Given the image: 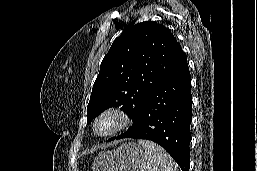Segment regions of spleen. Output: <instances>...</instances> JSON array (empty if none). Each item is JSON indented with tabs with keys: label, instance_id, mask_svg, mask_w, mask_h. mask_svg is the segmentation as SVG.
Returning a JSON list of instances; mask_svg holds the SVG:
<instances>
[{
	"label": "spleen",
	"instance_id": "3e777b00",
	"mask_svg": "<svg viewBox=\"0 0 257 171\" xmlns=\"http://www.w3.org/2000/svg\"><path fill=\"white\" fill-rule=\"evenodd\" d=\"M145 150L140 171H177L171 156L158 144L148 140H138Z\"/></svg>",
	"mask_w": 257,
	"mask_h": 171
}]
</instances>
